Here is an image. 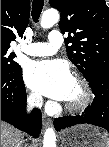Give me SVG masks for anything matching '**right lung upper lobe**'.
I'll return each instance as SVG.
<instances>
[{"label":"right lung upper lobe","mask_w":109,"mask_h":147,"mask_svg":"<svg viewBox=\"0 0 109 147\" xmlns=\"http://www.w3.org/2000/svg\"><path fill=\"white\" fill-rule=\"evenodd\" d=\"M30 16V0H1V48L9 49L15 34L23 35Z\"/></svg>","instance_id":"cb5924a9"}]
</instances>
